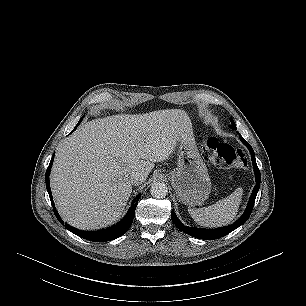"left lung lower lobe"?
Returning a JSON list of instances; mask_svg holds the SVG:
<instances>
[{
    "label": "left lung lower lobe",
    "instance_id": "1",
    "mask_svg": "<svg viewBox=\"0 0 306 306\" xmlns=\"http://www.w3.org/2000/svg\"><path fill=\"white\" fill-rule=\"evenodd\" d=\"M240 140L247 146V148L249 149L250 153H251V159H252V163H253V168H254V173H255V178H256V185L253 189V193L251 194V197L248 201V205L247 208L244 212V214L242 215L241 218H239L235 223H233L232 225L229 226H225L222 228H217V229H204V228H194V227H187L184 226L180 220L177 218L176 214L174 213V211L171 212V219L173 221V223L175 224V226L180 229L181 231H183L184 233L199 238V239H205V240H214V239H218L221 238L227 234H229L230 232H232L233 230L237 229L239 226H241L244 222H246V220L249 218V216L251 215V212L253 210V206H254V202L257 196V192L259 190L260 187V171L258 169L257 163H256V159H255V155H254V151L252 149V147L250 146L249 143H247L243 137L241 135H239Z\"/></svg>",
    "mask_w": 306,
    "mask_h": 306
}]
</instances>
